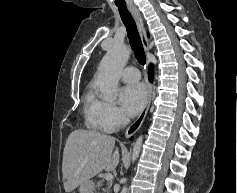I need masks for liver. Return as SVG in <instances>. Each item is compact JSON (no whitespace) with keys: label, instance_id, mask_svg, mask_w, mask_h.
I'll return each mask as SVG.
<instances>
[{"label":"liver","instance_id":"1","mask_svg":"<svg viewBox=\"0 0 237 193\" xmlns=\"http://www.w3.org/2000/svg\"><path fill=\"white\" fill-rule=\"evenodd\" d=\"M115 139L107 134L78 129L73 131L65 144L62 174L65 192H71L89 181L102 170L112 171L120 154L115 149Z\"/></svg>","mask_w":237,"mask_h":193}]
</instances>
